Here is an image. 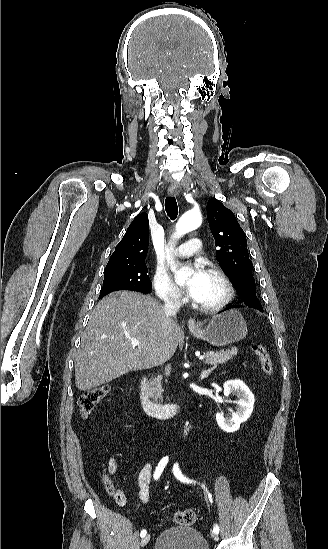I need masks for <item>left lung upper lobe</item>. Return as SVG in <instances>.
I'll return each mask as SVG.
<instances>
[{
	"label": "left lung upper lobe",
	"mask_w": 328,
	"mask_h": 549,
	"mask_svg": "<svg viewBox=\"0 0 328 549\" xmlns=\"http://www.w3.org/2000/svg\"><path fill=\"white\" fill-rule=\"evenodd\" d=\"M207 218L217 247L216 259L246 305L259 303L246 235L233 212L216 199L207 203Z\"/></svg>",
	"instance_id": "5c2ea615"
}]
</instances>
